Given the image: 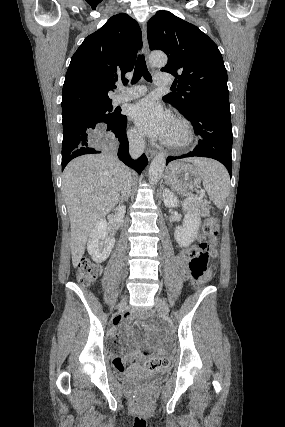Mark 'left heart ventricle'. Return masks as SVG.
Here are the masks:
<instances>
[{"label": "left heart ventricle", "mask_w": 285, "mask_h": 427, "mask_svg": "<svg viewBox=\"0 0 285 427\" xmlns=\"http://www.w3.org/2000/svg\"><path fill=\"white\" fill-rule=\"evenodd\" d=\"M182 136H183V132H182L181 126L179 124H177L176 122H174L168 139L169 140H179L182 138Z\"/></svg>", "instance_id": "left-heart-ventricle-1"}]
</instances>
